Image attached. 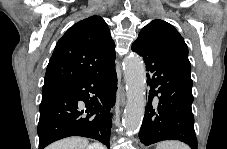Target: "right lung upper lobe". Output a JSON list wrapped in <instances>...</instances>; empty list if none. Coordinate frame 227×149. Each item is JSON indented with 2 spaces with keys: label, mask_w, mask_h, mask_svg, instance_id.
Listing matches in <instances>:
<instances>
[{
  "label": "right lung upper lobe",
  "mask_w": 227,
  "mask_h": 149,
  "mask_svg": "<svg viewBox=\"0 0 227 149\" xmlns=\"http://www.w3.org/2000/svg\"><path fill=\"white\" fill-rule=\"evenodd\" d=\"M115 59V44L100 16H91L69 28L49 60L43 89L72 83Z\"/></svg>",
  "instance_id": "1"
}]
</instances>
